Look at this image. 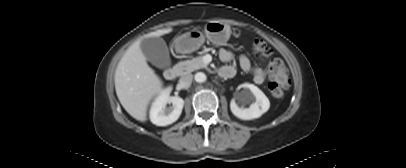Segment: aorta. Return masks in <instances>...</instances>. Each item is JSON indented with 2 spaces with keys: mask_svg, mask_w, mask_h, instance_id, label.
<instances>
[{
  "mask_svg": "<svg viewBox=\"0 0 406 168\" xmlns=\"http://www.w3.org/2000/svg\"><path fill=\"white\" fill-rule=\"evenodd\" d=\"M206 75L203 72H198L195 74V80L198 83H203L206 81Z\"/></svg>",
  "mask_w": 406,
  "mask_h": 168,
  "instance_id": "obj_1",
  "label": "aorta"
}]
</instances>
